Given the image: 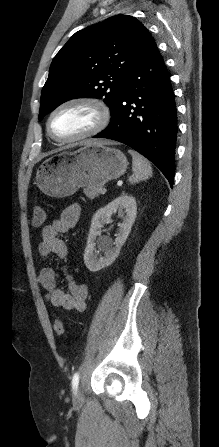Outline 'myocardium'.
I'll return each instance as SVG.
<instances>
[{"label":"myocardium","mask_w":219,"mask_h":447,"mask_svg":"<svg viewBox=\"0 0 219 447\" xmlns=\"http://www.w3.org/2000/svg\"><path fill=\"white\" fill-rule=\"evenodd\" d=\"M75 106H82L89 108L95 115V123L94 125L89 128L84 133L70 137V138H61L55 135L52 131L51 123L54 118V116L59 113L61 110L69 108V107H75ZM111 120V111L109 107L104 103L103 101L93 98V97H73L68 100L63 101L59 105H57L49 114L46 128L49 136L60 143H73V142H79L85 139H88L90 137H93L100 132H102L110 123Z\"/></svg>","instance_id":"f54148a6"}]
</instances>
